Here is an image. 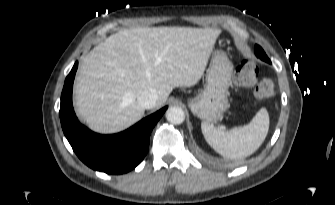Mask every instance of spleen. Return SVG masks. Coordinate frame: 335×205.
<instances>
[{
    "label": "spleen",
    "instance_id": "obj_1",
    "mask_svg": "<svg viewBox=\"0 0 335 205\" xmlns=\"http://www.w3.org/2000/svg\"><path fill=\"white\" fill-rule=\"evenodd\" d=\"M201 130L207 143L216 152L228 159L242 160L253 154L264 142L269 130V115L265 108H261L247 125L224 131L203 121Z\"/></svg>",
    "mask_w": 335,
    "mask_h": 205
}]
</instances>
